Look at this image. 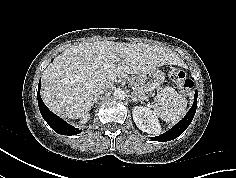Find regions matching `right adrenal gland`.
Returning <instances> with one entry per match:
<instances>
[{
    "mask_svg": "<svg viewBox=\"0 0 236 178\" xmlns=\"http://www.w3.org/2000/svg\"><path fill=\"white\" fill-rule=\"evenodd\" d=\"M99 98H100L99 96L94 98V100H93V102H92V106H93L94 104L96 105L97 100H98Z\"/></svg>",
    "mask_w": 236,
    "mask_h": 178,
    "instance_id": "right-adrenal-gland-1",
    "label": "right adrenal gland"
}]
</instances>
